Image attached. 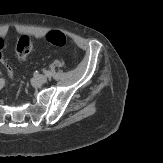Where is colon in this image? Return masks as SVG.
<instances>
[{"mask_svg": "<svg viewBox=\"0 0 163 163\" xmlns=\"http://www.w3.org/2000/svg\"><path fill=\"white\" fill-rule=\"evenodd\" d=\"M46 40L51 45L58 46V47L64 46L67 42L66 35L58 30L50 31L46 36ZM33 46H34V42L30 37L28 36L21 37L16 45L17 58L20 61H25L28 55L30 54V52L32 51ZM2 51H3V42L0 40V66H2L10 76H12L13 71L11 67L8 65V63L6 62Z\"/></svg>", "mask_w": 163, "mask_h": 163, "instance_id": "colon-1", "label": "colon"}]
</instances>
